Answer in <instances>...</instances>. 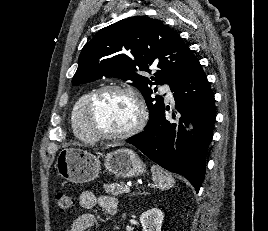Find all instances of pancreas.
Returning a JSON list of instances; mask_svg holds the SVG:
<instances>
[{"instance_id": "1", "label": "pancreas", "mask_w": 268, "mask_h": 231, "mask_svg": "<svg viewBox=\"0 0 268 231\" xmlns=\"http://www.w3.org/2000/svg\"><path fill=\"white\" fill-rule=\"evenodd\" d=\"M104 190L106 193L111 194L112 196H118L124 193V183L116 182L104 184Z\"/></svg>"}]
</instances>
